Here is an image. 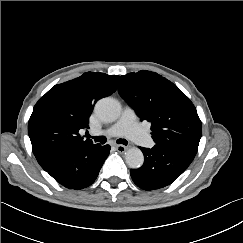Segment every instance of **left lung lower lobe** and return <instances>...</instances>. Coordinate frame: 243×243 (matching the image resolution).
Here are the masks:
<instances>
[{
    "instance_id": "0a47b994",
    "label": "left lung lower lobe",
    "mask_w": 243,
    "mask_h": 243,
    "mask_svg": "<svg viewBox=\"0 0 243 243\" xmlns=\"http://www.w3.org/2000/svg\"><path fill=\"white\" fill-rule=\"evenodd\" d=\"M144 154V164L131 169L134 183L141 189L150 191L171 184L193 161L198 146L191 144H156L153 148H140Z\"/></svg>"
}]
</instances>
